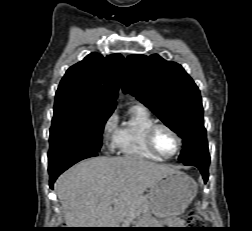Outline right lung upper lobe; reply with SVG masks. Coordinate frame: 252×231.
<instances>
[{
	"label": "right lung upper lobe",
	"mask_w": 252,
	"mask_h": 231,
	"mask_svg": "<svg viewBox=\"0 0 252 231\" xmlns=\"http://www.w3.org/2000/svg\"><path fill=\"white\" fill-rule=\"evenodd\" d=\"M123 56L106 57L91 53L71 66L62 78L55 96V105H76L114 110L120 87Z\"/></svg>",
	"instance_id": "cb5924a9"
}]
</instances>
